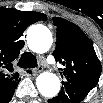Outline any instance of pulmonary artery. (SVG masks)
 <instances>
[{
  "label": "pulmonary artery",
  "mask_w": 103,
  "mask_h": 103,
  "mask_svg": "<svg viewBox=\"0 0 103 103\" xmlns=\"http://www.w3.org/2000/svg\"><path fill=\"white\" fill-rule=\"evenodd\" d=\"M49 61H50V63H52V62H53L51 59H50Z\"/></svg>",
  "instance_id": "pulmonary-artery-1"
}]
</instances>
